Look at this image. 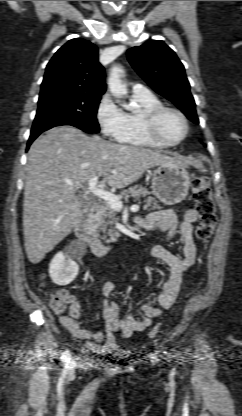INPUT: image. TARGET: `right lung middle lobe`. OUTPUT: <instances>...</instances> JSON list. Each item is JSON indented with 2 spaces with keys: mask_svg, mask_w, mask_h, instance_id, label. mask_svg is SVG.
Listing matches in <instances>:
<instances>
[{
  "mask_svg": "<svg viewBox=\"0 0 242 416\" xmlns=\"http://www.w3.org/2000/svg\"><path fill=\"white\" fill-rule=\"evenodd\" d=\"M101 96L55 92L40 95L31 131L72 122L85 132H99L96 114Z\"/></svg>",
  "mask_w": 242,
  "mask_h": 416,
  "instance_id": "obj_1",
  "label": "right lung middle lobe"
}]
</instances>
